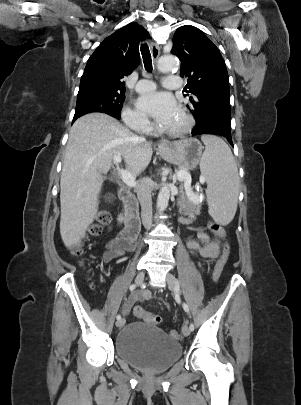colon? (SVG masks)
Segmentation results:
<instances>
[{
  "mask_svg": "<svg viewBox=\"0 0 301 405\" xmlns=\"http://www.w3.org/2000/svg\"><path fill=\"white\" fill-rule=\"evenodd\" d=\"M109 222H110V215L107 212L103 211L99 212L96 215L94 222L88 228V234L93 237L99 236L102 233L104 226H106ZM208 229L219 238L222 239L226 238V231L220 224L211 222L208 224ZM72 252L75 255H80L81 247L79 245L74 246L72 248ZM229 254H230V246L227 242H225L223 246V251L214 267L213 280L215 282H217L220 279L223 269L228 261ZM133 312L137 318H140L147 323L158 325L161 322V317L159 315L147 312L140 306H136ZM169 335L171 338L175 340L181 339V333L178 330H171L169 332Z\"/></svg>",
  "mask_w": 301,
  "mask_h": 405,
  "instance_id": "colon-1",
  "label": "colon"
}]
</instances>
